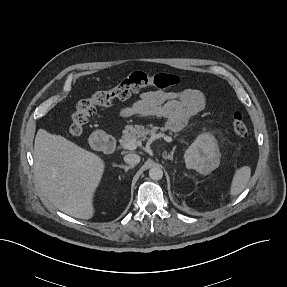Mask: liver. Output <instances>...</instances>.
<instances>
[{
    "mask_svg": "<svg viewBox=\"0 0 287 287\" xmlns=\"http://www.w3.org/2000/svg\"><path fill=\"white\" fill-rule=\"evenodd\" d=\"M33 158L44 197L72 217L91 219L95 213L94 194L105 169L104 160L44 129L36 134Z\"/></svg>",
    "mask_w": 287,
    "mask_h": 287,
    "instance_id": "obj_1",
    "label": "liver"
}]
</instances>
